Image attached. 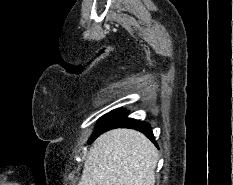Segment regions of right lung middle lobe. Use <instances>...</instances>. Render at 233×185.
Returning <instances> with one entry per match:
<instances>
[{
    "mask_svg": "<svg viewBox=\"0 0 233 185\" xmlns=\"http://www.w3.org/2000/svg\"><path fill=\"white\" fill-rule=\"evenodd\" d=\"M107 116H108V115H107ZM104 120H105V119H104ZM104 120H103V121H104ZM103 121H102V123H103ZM101 127H102V124H101L100 126L97 127V129L94 131V133H93L92 136L90 137L89 143H91V142L99 135V131H100Z\"/></svg>",
    "mask_w": 233,
    "mask_h": 185,
    "instance_id": "obj_1",
    "label": "right lung middle lobe"
}]
</instances>
